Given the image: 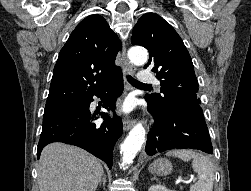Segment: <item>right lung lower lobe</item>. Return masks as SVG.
I'll return each mask as SVG.
<instances>
[{"label": "right lung lower lobe", "mask_w": 251, "mask_h": 191, "mask_svg": "<svg viewBox=\"0 0 251 191\" xmlns=\"http://www.w3.org/2000/svg\"><path fill=\"white\" fill-rule=\"evenodd\" d=\"M109 91V94L105 92ZM123 91L122 76L117 78L106 88L96 92L94 95L104 98L103 107L115 109V100ZM82 101L84 107L71 109L61 113L43 118V128L37 149V157H40L43 147L52 142H63L76 145L96 157L105 161L109 168L112 167L113 148L122 135L123 126L121 119L114 115L113 119L107 117L101 124L92 123L95 114L89 110L93 96Z\"/></svg>", "instance_id": "98d812e1"}]
</instances>
